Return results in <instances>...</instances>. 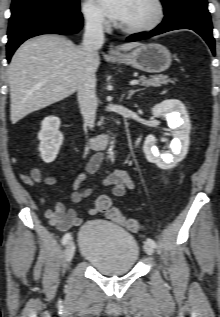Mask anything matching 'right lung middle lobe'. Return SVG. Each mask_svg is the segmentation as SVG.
Here are the masks:
<instances>
[{"label": "right lung middle lobe", "mask_w": 220, "mask_h": 317, "mask_svg": "<svg viewBox=\"0 0 220 317\" xmlns=\"http://www.w3.org/2000/svg\"><path fill=\"white\" fill-rule=\"evenodd\" d=\"M38 9L56 10L77 14L80 12L79 0H13L12 16Z\"/></svg>", "instance_id": "obj_1"}]
</instances>
